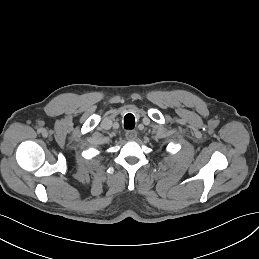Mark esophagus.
Returning a JSON list of instances; mask_svg holds the SVG:
<instances>
[{
  "label": "esophagus",
  "instance_id": "34e87169",
  "mask_svg": "<svg viewBox=\"0 0 259 259\" xmlns=\"http://www.w3.org/2000/svg\"><path fill=\"white\" fill-rule=\"evenodd\" d=\"M137 137V132L132 130V131H128L126 133V139L129 140V141H132V140H135Z\"/></svg>",
  "mask_w": 259,
  "mask_h": 259
}]
</instances>
